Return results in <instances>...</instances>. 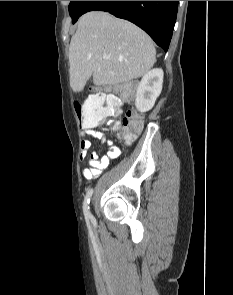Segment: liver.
<instances>
[{
    "instance_id": "1",
    "label": "liver",
    "mask_w": 233,
    "mask_h": 295,
    "mask_svg": "<svg viewBox=\"0 0 233 295\" xmlns=\"http://www.w3.org/2000/svg\"><path fill=\"white\" fill-rule=\"evenodd\" d=\"M155 61L153 41L143 30L107 12L91 11L81 16L71 38L70 86L81 92L91 76L97 86L128 82L146 74Z\"/></svg>"
}]
</instances>
